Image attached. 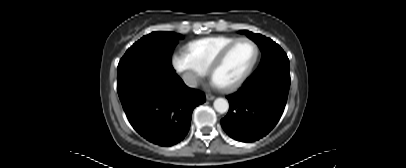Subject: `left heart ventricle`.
Returning <instances> with one entry per match:
<instances>
[{"mask_svg":"<svg viewBox=\"0 0 406 168\" xmlns=\"http://www.w3.org/2000/svg\"><path fill=\"white\" fill-rule=\"evenodd\" d=\"M254 53L255 49L249 42L235 45L216 71L214 80L222 86L237 79L253 59Z\"/></svg>","mask_w":406,"mask_h":168,"instance_id":"b2bd125f","label":"left heart ventricle"}]
</instances>
